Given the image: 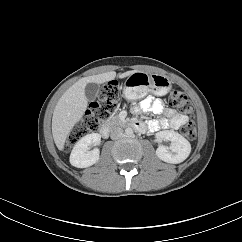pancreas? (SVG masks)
<instances>
[{
  "instance_id": "cf45deb5",
  "label": "pancreas",
  "mask_w": 242,
  "mask_h": 242,
  "mask_svg": "<svg viewBox=\"0 0 242 242\" xmlns=\"http://www.w3.org/2000/svg\"><path fill=\"white\" fill-rule=\"evenodd\" d=\"M107 122L111 126H123L125 124V121L121 120L118 115L111 116Z\"/></svg>"
}]
</instances>
